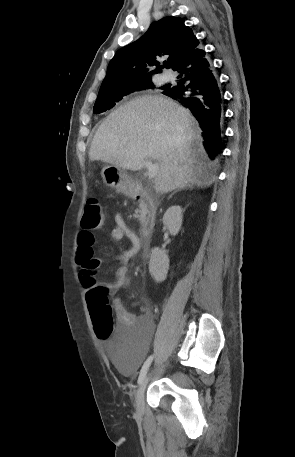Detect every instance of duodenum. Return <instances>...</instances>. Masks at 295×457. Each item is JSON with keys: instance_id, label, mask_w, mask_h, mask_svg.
<instances>
[{"instance_id": "1", "label": "duodenum", "mask_w": 295, "mask_h": 457, "mask_svg": "<svg viewBox=\"0 0 295 457\" xmlns=\"http://www.w3.org/2000/svg\"><path fill=\"white\" fill-rule=\"evenodd\" d=\"M133 199L140 203L143 218L140 229V240L143 250L149 247L156 223L155 205L150 195L140 187H135L131 193Z\"/></svg>"}]
</instances>
